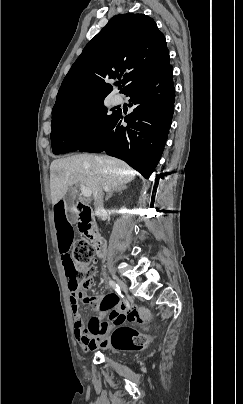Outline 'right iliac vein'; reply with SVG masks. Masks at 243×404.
I'll return each instance as SVG.
<instances>
[{"label": "right iliac vein", "mask_w": 243, "mask_h": 404, "mask_svg": "<svg viewBox=\"0 0 243 404\" xmlns=\"http://www.w3.org/2000/svg\"><path fill=\"white\" fill-rule=\"evenodd\" d=\"M115 280H116L117 284L121 287V289H122L125 293H127V292H128V288H127V285L125 284V282L122 281L121 279H119L118 277H115Z\"/></svg>", "instance_id": "obj_1"}]
</instances>
